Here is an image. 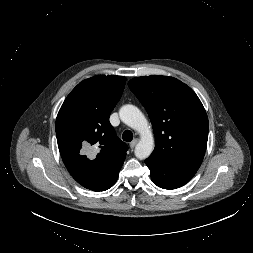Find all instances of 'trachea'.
Returning a JSON list of instances; mask_svg holds the SVG:
<instances>
[{"label":"trachea","mask_w":253,"mask_h":253,"mask_svg":"<svg viewBox=\"0 0 253 253\" xmlns=\"http://www.w3.org/2000/svg\"><path fill=\"white\" fill-rule=\"evenodd\" d=\"M122 138H123L124 141L130 142L133 139V134L130 130H125L123 132Z\"/></svg>","instance_id":"obj_1"}]
</instances>
